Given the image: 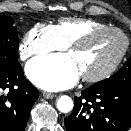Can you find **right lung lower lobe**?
<instances>
[{"label":"right lung lower lobe","mask_w":131,"mask_h":131,"mask_svg":"<svg viewBox=\"0 0 131 131\" xmlns=\"http://www.w3.org/2000/svg\"><path fill=\"white\" fill-rule=\"evenodd\" d=\"M23 75L20 64L0 70V131H24L39 97L38 90Z\"/></svg>","instance_id":"1"}]
</instances>
